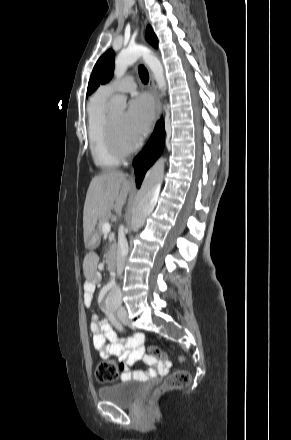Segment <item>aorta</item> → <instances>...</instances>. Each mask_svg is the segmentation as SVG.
Segmentation results:
<instances>
[{"instance_id": "762f6f07", "label": "aorta", "mask_w": 291, "mask_h": 440, "mask_svg": "<svg viewBox=\"0 0 291 440\" xmlns=\"http://www.w3.org/2000/svg\"><path fill=\"white\" fill-rule=\"evenodd\" d=\"M143 46L134 45L122 50L115 59L114 77L121 79L128 67L134 64L144 53ZM126 98L123 95H115L108 104L111 113H122L126 108ZM160 191V183L156 180L153 169H150L138 194L137 203L132 211L131 229L139 230L145 223L147 216L153 211ZM121 300L119 287L110 285L106 302L109 305H118Z\"/></svg>"}]
</instances>
